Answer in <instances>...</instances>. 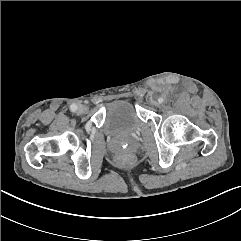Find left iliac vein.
<instances>
[{"mask_svg": "<svg viewBox=\"0 0 241 241\" xmlns=\"http://www.w3.org/2000/svg\"><path fill=\"white\" fill-rule=\"evenodd\" d=\"M151 104H152V105H155V106H158V105H159V103H158L157 101H154V100H151Z\"/></svg>", "mask_w": 241, "mask_h": 241, "instance_id": "obj_1", "label": "left iliac vein"}]
</instances>
